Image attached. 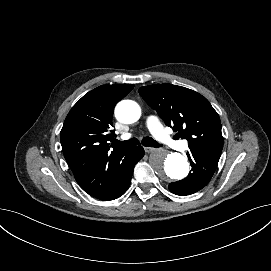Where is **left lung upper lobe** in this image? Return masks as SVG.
I'll return each mask as SVG.
<instances>
[{"instance_id": "1", "label": "left lung upper lobe", "mask_w": 271, "mask_h": 271, "mask_svg": "<svg viewBox=\"0 0 271 271\" xmlns=\"http://www.w3.org/2000/svg\"><path fill=\"white\" fill-rule=\"evenodd\" d=\"M139 94L166 125L187 139L190 150L206 148L220 155L223 148L219 115L201 94L168 83L141 87Z\"/></svg>"}]
</instances>
